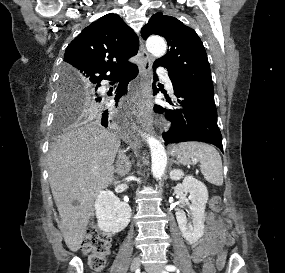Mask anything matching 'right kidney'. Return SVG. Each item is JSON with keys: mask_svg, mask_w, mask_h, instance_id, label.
Wrapping results in <instances>:
<instances>
[{"mask_svg": "<svg viewBox=\"0 0 285 273\" xmlns=\"http://www.w3.org/2000/svg\"><path fill=\"white\" fill-rule=\"evenodd\" d=\"M98 227L106 234L122 231L130 222L131 208L111 191H101L95 201Z\"/></svg>", "mask_w": 285, "mask_h": 273, "instance_id": "obj_1", "label": "right kidney"}]
</instances>
